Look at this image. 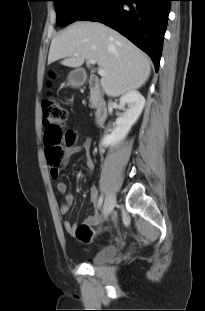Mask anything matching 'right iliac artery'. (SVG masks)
Instances as JSON below:
<instances>
[{
  "label": "right iliac artery",
  "instance_id": "82829eb1",
  "mask_svg": "<svg viewBox=\"0 0 205 311\" xmlns=\"http://www.w3.org/2000/svg\"><path fill=\"white\" fill-rule=\"evenodd\" d=\"M102 203H103V196H100L99 200H98V207L99 208L102 206Z\"/></svg>",
  "mask_w": 205,
  "mask_h": 311
}]
</instances>
